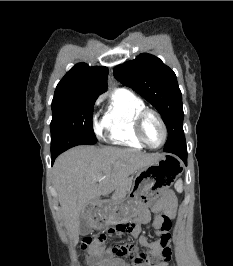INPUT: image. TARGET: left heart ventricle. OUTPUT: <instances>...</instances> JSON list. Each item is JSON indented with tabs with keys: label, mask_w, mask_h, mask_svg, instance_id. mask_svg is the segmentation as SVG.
<instances>
[{
	"label": "left heart ventricle",
	"mask_w": 233,
	"mask_h": 266,
	"mask_svg": "<svg viewBox=\"0 0 233 266\" xmlns=\"http://www.w3.org/2000/svg\"><path fill=\"white\" fill-rule=\"evenodd\" d=\"M143 133L147 142L153 146L161 143L163 130L159 121L152 115L148 116L143 125Z\"/></svg>",
	"instance_id": "b2bd125f"
}]
</instances>
